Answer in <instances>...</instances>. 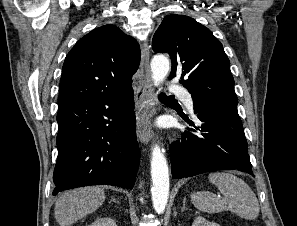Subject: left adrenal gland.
Wrapping results in <instances>:
<instances>
[{"label": "left adrenal gland", "mask_w": 297, "mask_h": 226, "mask_svg": "<svg viewBox=\"0 0 297 226\" xmlns=\"http://www.w3.org/2000/svg\"><path fill=\"white\" fill-rule=\"evenodd\" d=\"M188 208H186V198L183 199V206H182V209H181V212L187 210Z\"/></svg>", "instance_id": "obj_1"}]
</instances>
